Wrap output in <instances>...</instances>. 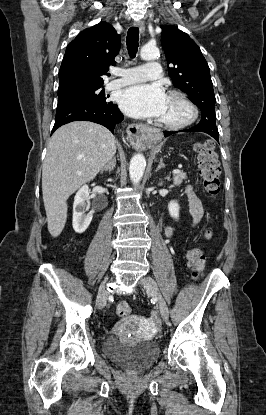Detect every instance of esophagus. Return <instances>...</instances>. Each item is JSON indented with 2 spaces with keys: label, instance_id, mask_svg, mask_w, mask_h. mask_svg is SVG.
I'll list each match as a JSON object with an SVG mask.
<instances>
[{
  "label": "esophagus",
  "instance_id": "esophagus-1",
  "mask_svg": "<svg viewBox=\"0 0 266 415\" xmlns=\"http://www.w3.org/2000/svg\"><path fill=\"white\" fill-rule=\"evenodd\" d=\"M135 27H138L140 33H144L145 31V24L143 21H138L134 23ZM148 131V127L142 124H133L130 125L127 129L128 140L133 146H141L145 143L146 140V132Z\"/></svg>",
  "mask_w": 266,
  "mask_h": 415
}]
</instances>
